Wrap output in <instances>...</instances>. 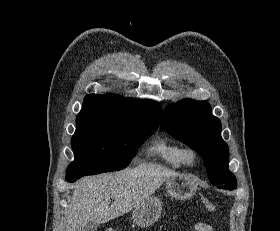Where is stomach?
<instances>
[{
  "label": "stomach",
  "instance_id": "stomach-1",
  "mask_svg": "<svg viewBox=\"0 0 280 231\" xmlns=\"http://www.w3.org/2000/svg\"><path fill=\"white\" fill-rule=\"evenodd\" d=\"M199 181L195 175L180 173L175 177H169L166 181L165 189L167 195L177 197V199H189L197 191ZM162 211V201L155 195H150L149 199L135 207L132 213L133 223L140 227H149L159 219Z\"/></svg>",
  "mask_w": 280,
  "mask_h": 231
}]
</instances>
